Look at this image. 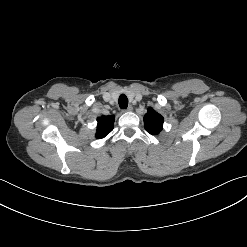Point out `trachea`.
<instances>
[{
    "label": "trachea",
    "instance_id": "1",
    "mask_svg": "<svg viewBox=\"0 0 247 247\" xmlns=\"http://www.w3.org/2000/svg\"><path fill=\"white\" fill-rule=\"evenodd\" d=\"M119 106L121 109H126L128 106V98L125 94L119 96Z\"/></svg>",
    "mask_w": 247,
    "mask_h": 247
}]
</instances>
